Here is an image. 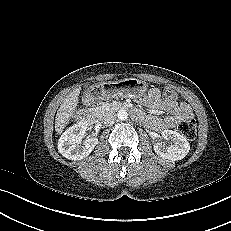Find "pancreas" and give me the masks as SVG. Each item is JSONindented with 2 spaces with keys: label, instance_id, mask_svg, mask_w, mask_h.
<instances>
[{
  "label": "pancreas",
  "instance_id": "cf45deb5",
  "mask_svg": "<svg viewBox=\"0 0 231 231\" xmlns=\"http://www.w3.org/2000/svg\"><path fill=\"white\" fill-rule=\"evenodd\" d=\"M118 107V104L114 103H103L101 106H99V110L101 113L115 110Z\"/></svg>",
  "mask_w": 231,
  "mask_h": 231
}]
</instances>
